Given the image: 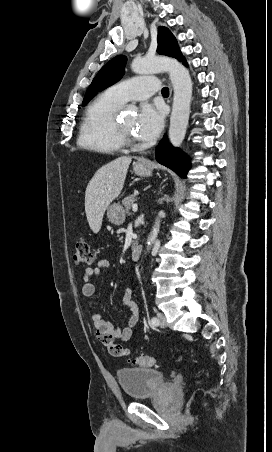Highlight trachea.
I'll use <instances>...</instances> for the list:
<instances>
[{"instance_id":"1","label":"trachea","mask_w":272,"mask_h":452,"mask_svg":"<svg viewBox=\"0 0 272 452\" xmlns=\"http://www.w3.org/2000/svg\"><path fill=\"white\" fill-rule=\"evenodd\" d=\"M162 95H169V89L167 87L162 89Z\"/></svg>"}]
</instances>
